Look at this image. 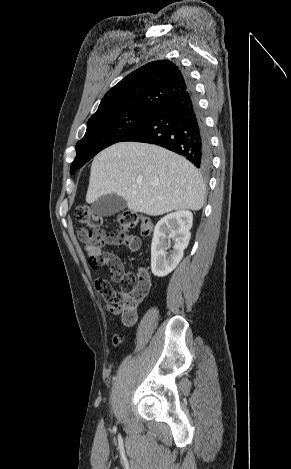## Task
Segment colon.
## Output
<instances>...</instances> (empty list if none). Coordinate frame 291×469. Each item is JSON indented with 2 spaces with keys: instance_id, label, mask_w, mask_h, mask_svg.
<instances>
[{
  "instance_id": "colon-1",
  "label": "colon",
  "mask_w": 291,
  "mask_h": 469,
  "mask_svg": "<svg viewBox=\"0 0 291 469\" xmlns=\"http://www.w3.org/2000/svg\"><path fill=\"white\" fill-rule=\"evenodd\" d=\"M75 219L85 226L87 239L98 246L107 243H126L128 241V231L140 226L143 235H149L153 228L152 221L135 211L126 210L118 215L119 230L106 232L101 227V217L97 215L89 206L82 205L74 210ZM90 267L97 269L106 264L103 257H93L89 259ZM111 277L118 282L120 288L115 290L111 285L105 282H99L96 285L97 290L102 296L115 304L114 312L120 314L122 323L126 326H132L137 319V308L146 296L144 287L138 285L140 276L133 272H125L121 265L110 264ZM121 341V336L114 337V344Z\"/></svg>"
}]
</instances>
